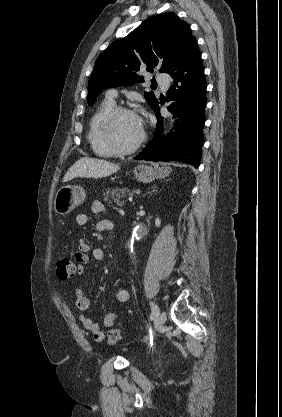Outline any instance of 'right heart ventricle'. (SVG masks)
<instances>
[{
  "mask_svg": "<svg viewBox=\"0 0 282 417\" xmlns=\"http://www.w3.org/2000/svg\"><path fill=\"white\" fill-rule=\"evenodd\" d=\"M114 107L113 100L105 99L94 114L90 124L89 140L94 151L102 156H109L114 153L104 144L102 134L99 131V124Z\"/></svg>",
  "mask_w": 282,
  "mask_h": 417,
  "instance_id": "e07e8e85",
  "label": "right heart ventricle"
}]
</instances>
